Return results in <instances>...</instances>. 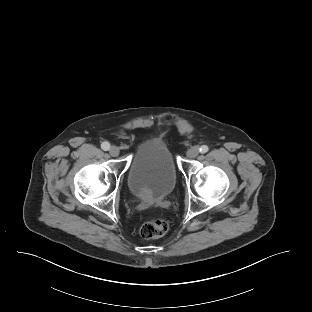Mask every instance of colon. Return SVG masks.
Returning a JSON list of instances; mask_svg holds the SVG:
<instances>
[{
	"instance_id": "obj_1",
	"label": "colon",
	"mask_w": 312,
	"mask_h": 312,
	"mask_svg": "<svg viewBox=\"0 0 312 312\" xmlns=\"http://www.w3.org/2000/svg\"><path fill=\"white\" fill-rule=\"evenodd\" d=\"M169 229V224L164 219H154L144 223L139 228V234L145 239H154L164 235Z\"/></svg>"
}]
</instances>
